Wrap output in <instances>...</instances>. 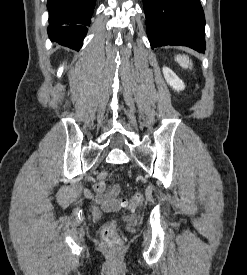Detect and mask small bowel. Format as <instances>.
I'll return each mask as SVG.
<instances>
[{
    "label": "small bowel",
    "mask_w": 247,
    "mask_h": 275,
    "mask_svg": "<svg viewBox=\"0 0 247 275\" xmlns=\"http://www.w3.org/2000/svg\"><path fill=\"white\" fill-rule=\"evenodd\" d=\"M96 192L98 194L99 202H101L107 208H119L124 206L123 202H120L115 198V195H116L115 189L110 192H105V191L100 192L97 190Z\"/></svg>",
    "instance_id": "c3829d8e"
}]
</instances>
